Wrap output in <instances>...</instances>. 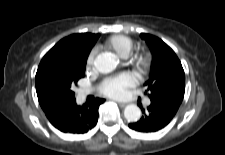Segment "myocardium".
Masks as SVG:
<instances>
[{"label": "myocardium", "mask_w": 225, "mask_h": 155, "mask_svg": "<svg viewBox=\"0 0 225 155\" xmlns=\"http://www.w3.org/2000/svg\"><path fill=\"white\" fill-rule=\"evenodd\" d=\"M148 57L145 54H140L134 59L135 66L143 72L148 66Z\"/></svg>", "instance_id": "myocardium-1"}]
</instances>
